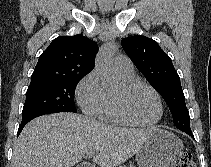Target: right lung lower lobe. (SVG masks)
<instances>
[{"instance_id": "obj_1", "label": "right lung lower lobe", "mask_w": 211, "mask_h": 167, "mask_svg": "<svg viewBox=\"0 0 211 167\" xmlns=\"http://www.w3.org/2000/svg\"><path fill=\"white\" fill-rule=\"evenodd\" d=\"M37 117H38V116H37ZM34 118H35V117H32V118H29V119H27V120L21 121V124L19 125V129H18L17 135H19L20 132L22 131L23 127H24L29 121H31V120L34 119Z\"/></svg>"}]
</instances>
